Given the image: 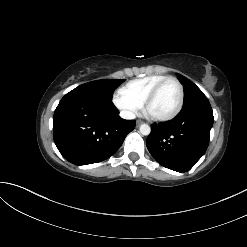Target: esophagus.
I'll return each instance as SVG.
<instances>
[{
	"label": "esophagus",
	"mask_w": 247,
	"mask_h": 247,
	"mask_svg": "<svg viewBox=\"0 0 247 247\" xmlns=\"http://www.w3.org/2000/svg\"><path fill=\"white\" fill-rule=\"evenodd\" d=\"M142 123H143L142 121H137V122H136V125H137V126H140Z\"/></svg>",
	"instance_id": "1"
}]
</instances>
